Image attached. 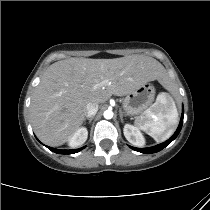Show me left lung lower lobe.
Instances as JSON below:
<instances>
[{"instance_id": "obj_1", "label": "left lung lower lobe", "mask_w": 210, "mask_h": 210, "mask_svg": "<svg viewBox=\"0 0 210 210\" xmlns=\"http://www.w3.org/2000/svg\"><path fill=\"white\" fill-rule=\"evenodd\" d=\"M183 115H184V112L182 113V117H181V120H180V124L176 130V132L174 133V135L169 139L167 140L166 142L164 143H161L157 146H153V147H150V148H143V149H140V148H134V147H131V149L135 150V151H138V152H141V153H156L160 150H162L163 148H165L169 143H171L179 134L181 128H182V124H183Z\"/></svg>"}]
</instances>
